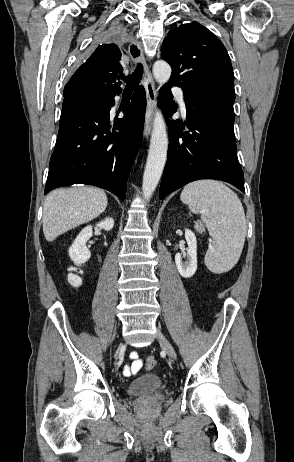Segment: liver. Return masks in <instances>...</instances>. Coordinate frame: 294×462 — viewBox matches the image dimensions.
Returning <instances> with one entry per match:
<instances>
[{"instance_id": "1", "label": "liver", "mask_w": 294, "mask_h": 462, "mask_svg": "<svg viewBox=\"0 0 294 462\" xmlns=\"http://www.w3.org/2000/svg\"><path fill=\"white\" fill-rule=\"evenodd\" d=\"M105 192L93 187H73L52 191L45 199L43 233L49 242L59 235L87 223L104 212Z\"/></svg>"}]
</instances>
